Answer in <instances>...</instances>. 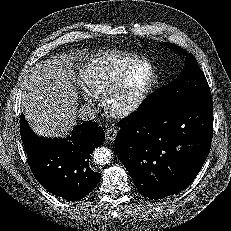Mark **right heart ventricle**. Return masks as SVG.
Here are the masks:
<instances>
[{
  "mask_svg": "<svg viewBox=\"0 0 231 231\" xmlns=\"http://www.w3.org/2000/svg\"><path fill=\"white\" fill-rule=\"evenodd\" d=\"M141 59L130 53H102L88 58L78 71V82L84 92L97 98L128 67Z\"/></svg>",
  "mask_w": 231,
  "mask_h": 231,
  "instance_id": "e07e8e85",
  "label": "right heart ventricle"
}]
</instances>
